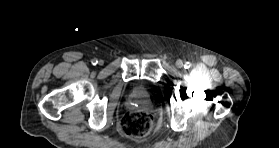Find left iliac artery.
Instances as JSON below:
<instances>
[{"label": "left iliac artery", "instance_id": "44dca946", "mask_svg": "<svg viewBox=\"0 0 279 148\" xmlns=\"http://www.w3.org/2000/svg\"><path fill=\"white\" fill-rule=\"evenodd\" d=\"M184 67L187 68V69L190 68L191 67V63L190 62H186Z\"/></svg>", "mask_w": 279, "mask_h": 148}]
</instances>
